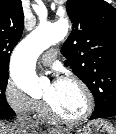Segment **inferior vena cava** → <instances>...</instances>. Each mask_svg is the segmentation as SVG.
I'll return each instance as SVG.
<instances>
[{
  "label": "inferior vena cava",
  "instance_id": "inferior-vena-cava-1",
  "mask_svg": "<svg viewBox=\"0 0 116 134\" xmlns=\"http://www.w3.org/2000/svg\"><path fill=\"white\" fill-rule=\"evenodd\" d=\"M17 128L22 134H28L35 128V122L31 117L22 115L17 118Z\"/></svg>",
  "mask_w": 116,
  "mask_h": 134
}]
</instances>
